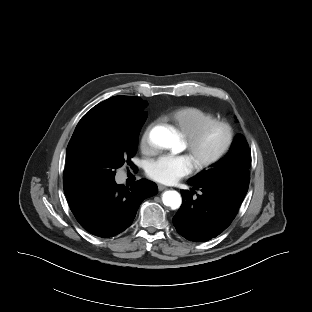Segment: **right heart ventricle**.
Here are the masks:
<instances>
[{"label": "right heart ventricle", "mask_w": 312, "mask_h": 312, "mask_svg": "<svg viewBox=\"0 0 312 312\" xmlns=\"http://www.w3.org/2000/svg\"><path fill=\"white\" fill-rule=\"evenodd\" d=\"M163 120L171 122L184 137L196 132L212 120L215 115L197 107L185 106L165 114Z\"/></svg>", "instance_id": "right-heart-ventricle-1"}]
</instances>
